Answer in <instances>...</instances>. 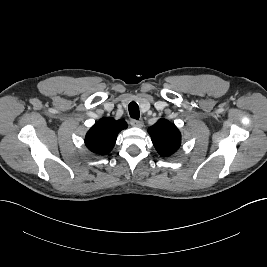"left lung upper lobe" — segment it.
Here are the masks:
<instances>
[{"label":"left lung upper lobe","instance_id":"5c2ea615","mask_svg":"<svg viewBox=\"0 0 267 267\" xmlns=\"http://www.w3.org/2000/svg\"><path fill=\"white\" fill-rule=\"evenodd\" d=\"M152 142L162 157H169L180 147L181 134L177 127L166 119H160L148 129Z\"/></svg>","mask_w":267,"mask_h":267}]
</instances>
